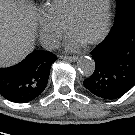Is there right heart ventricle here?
I'll return each instance as SVG.
<instances>
[{
    "instance_id": "obj_1",
    "label": "right heart ventricle",
    "mask_w": 135,
    "mask_h": 135,
    "mask_svg": "<svg viewBox=\"0 0 135 135\" xmlns=\"http://www.w3.org/2000/svg\"><path fill=\"white\" fill-rule=\"evenodd\" d=\"M80 0H49L45 6V15L53 23L64 29L68 18L74 12Z\"/></svg>"
}]
</instances>
